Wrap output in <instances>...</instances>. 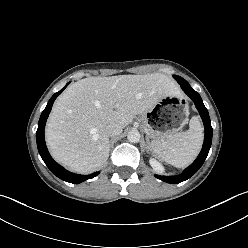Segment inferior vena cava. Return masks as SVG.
<instances>
[{
  "label": "inferior vena cava",
  "mask_w": 248,
  "mask_h": 248,
  "mask_svg": "<svg viewBox=\"0 0 248 248\" xmlns=\"http://www.w3.org/2000/svg\"><path fill=\"white\" fill-rule=\"evenodd\" d=\"M122 127L118 124H109L106 127V133L108 136L113 137V136H117L120 135L122 133Z\"/></svg>",
  "instance_id": "obj_1"
}]
</instances>
